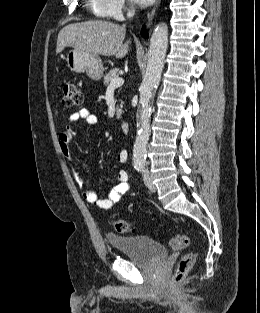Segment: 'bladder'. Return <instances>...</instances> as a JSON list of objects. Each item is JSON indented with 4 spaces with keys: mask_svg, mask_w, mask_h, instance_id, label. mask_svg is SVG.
Here are the masks:
<instances>
[{
    "mask_svg": "<svg viewBox=\"0 0 260 313\" xmlns=\"http://www.w3.org/2000/svg\"><path fill=\"white\" fill-rule=\"evenodd\" d=\"M108 245L125 253L136 266L149 267L167 257V249L148 236H120L108 234Z\"/></svg>",
    "mask_w": 260,
    "mask_h": 313,
    "instance_id": "31cf9c89",
    "label": "bladder"
}]
</instances>
